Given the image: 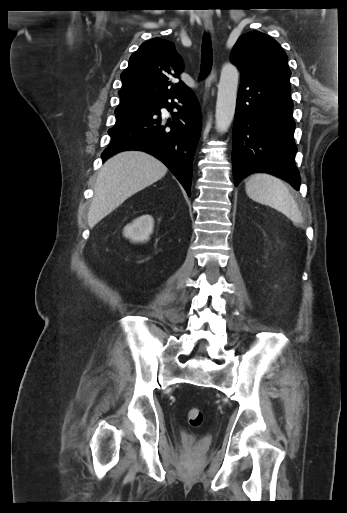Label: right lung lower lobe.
<instances>
[{
  "instance_id": "1",
  "label": "right lung lower lobe",
  "mask_w": 347,
  "mask_h": 513,
  "mask_svg": "<svg viewBox=\"0 0 347 513\" xmlns=\"http://www.w3.org/2000/svg\"><path fill=\"white\" fill-rule=\"evenodd\" d=\"M162 107L171 111V120L166 122L161 117ZM173 108L178 112L173 113ZM200 131V107L189 89L145 107L116 113V123L108 131L112 140L102 153V160L124 150L145 151L161 160L190 196L192 163Z\"/></svg>"
}]
</instances>
